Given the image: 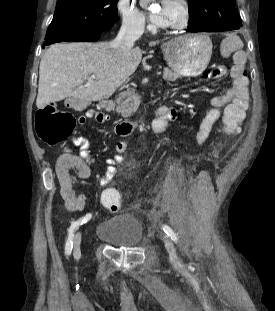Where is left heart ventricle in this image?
Masks as SVG:
<instances>
[{"label": "left heart ventricle", "instance_id": "b2bd125f", "mask_svg": "<svg viewBox=\"0 0 275 311\" xmlns=\"http://www.w3.org/2000/svg\"><path fill=\"white\" fill-rule=\"evenodd\" d=\"M166 26L176 23L180 18V9L173 0H169L166 6Z\"/></svg>", "mask_w": 275, "mask_h": 311}]
</instances>
